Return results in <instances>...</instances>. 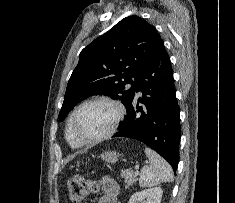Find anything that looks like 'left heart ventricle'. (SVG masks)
Returning <instances> with one entry per match:
<instances>
[{"label":"left heart ventricle","instance_id":"1","mask_svg":"<svg viewBox=\"0 0 235 203\" xmlns=\"http://www.w3.org/2000/svg\"><path fill=\"white\" fill-rule=\"evenodd\" d=\"M116 117V109L106 102H96L85 106L79 113L77 129L88 139L99 137L112 126Z\"/></svg>","mask_w":235,"mask_h":203}]
</instances>
